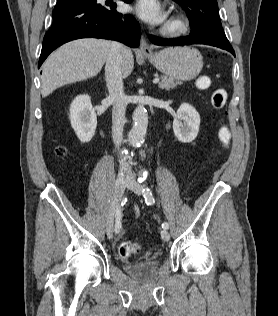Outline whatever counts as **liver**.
Masks as SVG:
<instances>
[{"label":"liver","instance_id":"liver-1","mask_svg":"<svg viewBox=\"0 0 278 316\" xmlns=\"http://www.w3.org/2000/svg\"><path fill=\"white\" fill-rule=\"evenodd\" d=\"M111 41L84 38L71 41L54 51L42 67L41 93L48 96L64 85L96 76L111 49ZM134 67L132 51L126 48L122 62L123 77H128Z\"/></svg>","mask_w":278,"mask_h":316}]
</instances>
